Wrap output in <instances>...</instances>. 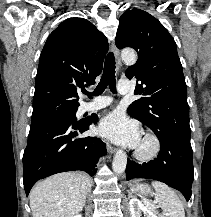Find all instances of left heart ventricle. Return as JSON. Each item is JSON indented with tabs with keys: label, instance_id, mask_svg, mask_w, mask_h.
<instances>
[{
	"label": "left heart ventricle",
	"instance_id": "1",
	"mask_svg": "<svg viewBox=\"0 0 211 217\" xmlns=\"http://www.w3.org/2000/svg\"><path fill=\"white\" fill-rule=\"evenodd\" d=\"M138 147H140L142 149H146L148 147V144H147V142L141 141Z\"/></svg>",
	"mask_w": 211,
	"mask_h": 217
}]
</instances>
